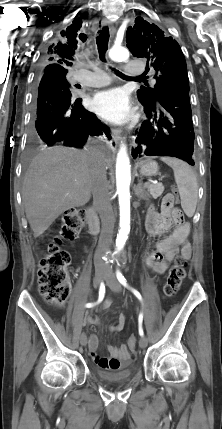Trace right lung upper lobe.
<instances>
[{"instance_id":"1","label":"right lung upper lobe","mask_w":222,"mask_h":429,"mask_svg":"<svg viewBox=\"0 0 222 429\" xmlns=\"http://www.w3.org/2000/svg\"><path fill=\"white\" fill-rule=\"evenodd\" d=\"M80 25H71L61 32L58 40L45 50L44 60L47 66L42 74L53 75L67 74L66 66L71 64L74 55L80 50L81 41L86 40V36L79 32Z\"/></svg>"}]
</instances>
